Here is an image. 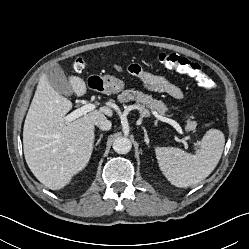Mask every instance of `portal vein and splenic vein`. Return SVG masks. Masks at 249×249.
I'll list each match as a JSON object with an SVG mask.
<instances>
[{
    "instance_id": "18ae733b",
    "label": "portal vein and splenic vein",
    "mask_w": 249,
    "mask_h": 249,
    "mask_svg": "<svg viewBox=\"0 0 249 249\" xmlns=\"http://www.w3.org/2000/svg\"><path fill=\"white\" fill-rule=\"evenodd\" d=\"M94 109H95L94 104H91V103L85 104L84 106L76 109L75 111H73L70 114H68L67 116H65L64 120H65V122H71V121L87 114L88 112L93 111ZM143 114H146V113L143 112ZM153 114L158 120L171 124L178 131V133H180L182 135L184 134V131L182 130L181 126L176 121L169 119V118H166V117H163V116L159 115L156 111H153ZM185 140L186 139L183 140V143H185Z\"/></svg>"
}]
</instances>
